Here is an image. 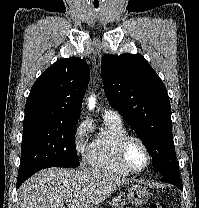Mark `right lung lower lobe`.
Returning <instances> with one entry per match:
<instances>
[{
    "mask_svg": "<svg viewBox=\"0 0 199 208\" xmlns=\"http://www.w3.org/2000/svg\"><path fill=\"white\" fill-rule=\"evenodd\" d=\"M28 177L19 176L17 180V187H19Z\"/></svg>",
    "mask_w": 199,
    "mask_h": 208,
    "instance_id": "right-lung-lower-lobe-1",
    "label": "right lung lower lobe"
}]
</instances>
